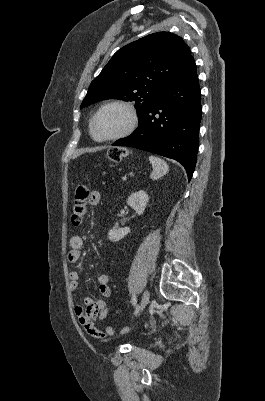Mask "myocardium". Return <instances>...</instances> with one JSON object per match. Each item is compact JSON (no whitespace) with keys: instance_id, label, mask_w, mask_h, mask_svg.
<instances>
[{"instance_id":"myocardium-1","label":"myocardium","mask_w":265,"mask_h":401,"mask_svg":"<svg viewBox=\"0 0 265 401\" xmlns=\"http://www.w3.org/2000/svg\"><path fill=\"white\" fill-rule=\"evenodd\" d=\"M111 107H118L123 109L127 113V121L124 127L116 134L106 138H98L94 135L93 127L98 116L106 109ZM137 122V114L135 108L132 104L125 101H110L104 105H102L92 116L89 122V134L91 138L96 142H109L117 140L123 136H125L128 132H130L136 125Z\"/></svg>"}]
</instances>
